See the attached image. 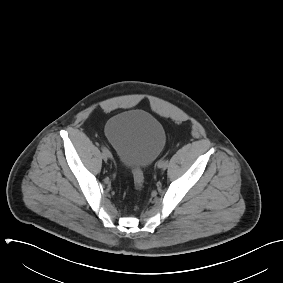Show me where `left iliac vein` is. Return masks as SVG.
<instances>
[{"label": "left iliac vein", "mask_w": 283, "mask_h": 283, "mask_svg": "<svg viewBox=\"0 0 283 283\" xmlns=\"http://www.w3.org/2000/svg\"><path fill=\"white\" fill-rule=\"evenodd\" d=\"M167 166H168V165L165 164V163L158 165V167L161 168V169H166Z\"/></svg>", "instance_id": "1"}]
</instances>
